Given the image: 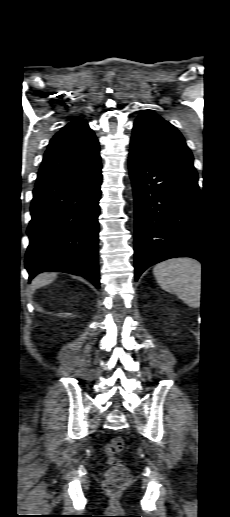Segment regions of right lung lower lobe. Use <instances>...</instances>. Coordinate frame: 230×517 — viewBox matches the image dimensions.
<instances>
[{
	"mask_svg": "<svg viewBox=\"0 0 230 517\" xmlns=\"http://www.w3.org/2000/svg\"><path fill=\"white\" fill-rule=\"evenodd\" d=\"M101 164L75 178L35 187L25 266L83 276L99 288L98 216Z\"/></svg>",
	"mask_w": 230,
	"mask_h": 517,
	"instance_id": "1",
	"label": "right lung lower lobe"
}]
</instances>
